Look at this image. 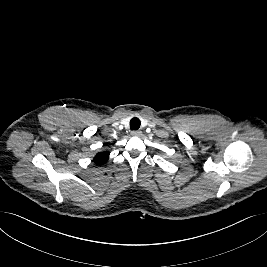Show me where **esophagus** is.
Returning a JSON list of instances; mask_svg holds the SVG:
<instances>
[{
    "mask_svg": "<svg viewBox=\"0 0 267 267\" xmlns=\"http://www.w3.org/2000/svg\"><path fill=\"white\" fill-rule=\"evenodd\" d=\"M131 135L132 136H141L142 135V132L139 131V130H134V131L131 132Z\"/></svg>",
    "mask_w": 267,
    "mask_h": 267,
    "instance_id": "1",
    "label": "esophagus"
}]
</instances>
